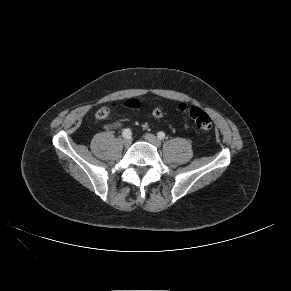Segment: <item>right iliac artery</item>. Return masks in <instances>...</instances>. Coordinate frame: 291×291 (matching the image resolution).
<instances>
[{
  "mask_svg": "<svg viewBox=\"0 0 291 291\" xmlns=\"http://www.w3.org/2000/svg\"><path fill=\"white\" fill-rule=\"evenodd\" d=\"M131 130L129 129V128H127V129H124L123 130V132H122V136L124 137V138H129L130 136H131Z\"/></svg>",
  "mask_w": 291,
  "mask_h": 291,
  "instance_id": "1",
  "label": "right iliac artery"
}]
</instances>
